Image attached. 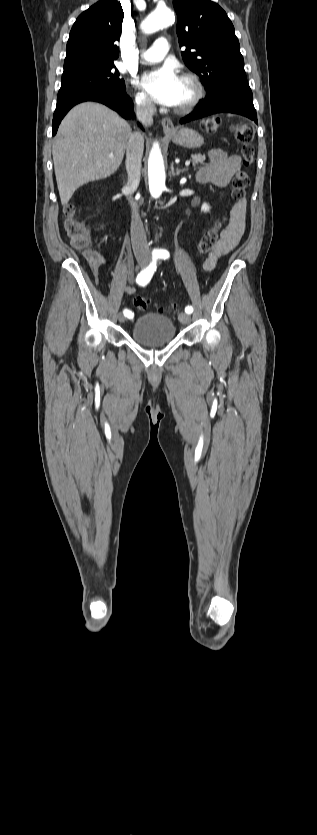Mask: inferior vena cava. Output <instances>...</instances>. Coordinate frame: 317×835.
Instances as JSON below:
<instances>
[{"label": "inferior vena cava", "instance_id": "inferior-vena-cava-1", "mask_svg": "<svg viewBox=\"0 0 317 835\" xmlns=\"http://www.w3.org/2000/svg\"><path fill=\"white\" fill-rule=\"evenodd\" d=\"M156 113L155 105L148 99L136 104L137 119L146 127L153 124V115ZM144 149V137L139 132L131 134L126 146V170L128 175L127 189L129 190V203L132 209L131 216V242L136 258L149 259L150 250L147 243L143 223L138 213V205L131 197L137 189L141 176V161Z\"/></svg>", "mask_w": 317, "mask_h": 835}]
</instances>
